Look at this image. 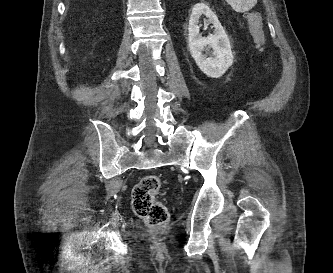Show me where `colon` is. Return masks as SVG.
<instances>
[{
  "mask_svg": "<svg viewBox=\"0 0 333 273\" xmlns=\"http://www.w3.org/2000/svg\"><path fill=\"white\" fill-rule=\"evenodd\" d=\"M248 22L255 42L258 45H263L265 43V34L261 15L250 13ZM161 186V179L157 175H147L134 186L132 191L133 211L153 228H161L169 220L167 208L156 199Z\"/></svg>",
  "mask_w": 333,
  "mask_h": 273,
  "instance_id": "obj_1",
  "label": "colon"
}]
</instances>
